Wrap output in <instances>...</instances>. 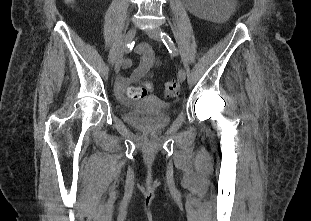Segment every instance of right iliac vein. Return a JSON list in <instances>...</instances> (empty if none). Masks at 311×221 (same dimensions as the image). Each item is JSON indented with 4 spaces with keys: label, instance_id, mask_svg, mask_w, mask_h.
Masks as SVG:
<instances>
[{
    "label": "right iliac vein",
    "instance_id": "obj_1",
    "mask_svg": "<svg viewBox=\"0 0 311 221\" xmlns=\"http://www.w3.org/2000/svg\"><path fill=\"white\" fill-rule=\"evenodd\" d=\"M136 31H137L136 27H132L128 30V32L125 36L123 46H122L120 53L118 54L116 62H115L116 73H118L120 71V68H121L122 63H123L124 53L127 51V45L130 44L132 42V40L134 39V37L136 35Z\"/></svg>",
    "mask_w": 311,
    "mask_h": 221
}]
</instances>
